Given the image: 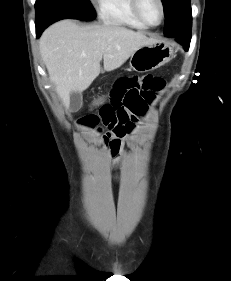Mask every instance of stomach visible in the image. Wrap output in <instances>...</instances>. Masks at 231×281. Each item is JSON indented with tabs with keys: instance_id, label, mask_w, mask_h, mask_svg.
I'll return each mask as SVG.
<instances>
[{
	"instance_id": "1",
	"label": "stomach",
	"mask_w": 231,
	"mask_h": 281,
	"mask_svg": "<svg viewBox=\"0 0 231 281\" xmlns=\"http://www.w3.org/2000/svg\"><path fill=\"white\" fill-rule=\"evenodd\" d=\"M174 47L167 41L145 45L135 51L130 58L131 68L139 73L155 70L174 57Z\"/></svg>"
}]
</instances>
